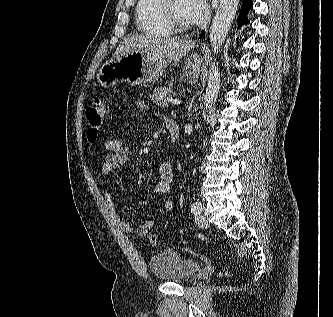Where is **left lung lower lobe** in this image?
Returning a JSON list of instances; mask_svg holds the SVG:
<instances>
[{"label":"left lung lower lobe","instance_id":"left-lung-lower-lobe-1","mask_svg":"<svg viewBox=\"0 0 333 317\" xmlns=\"http://www.w3.org/2000/svg\"><path fill=\"white\" fill-rule=\"evenodd\" d=\"M253 7V3L250 0H243L242 8L240 15L238 17V23L239 25H242L243 23H248L246 19V15L248 11ZM204 36V33H202L199 37L202 38Z\"/></svg>","mask_w":333,"mask_h":317}]
</instances>
